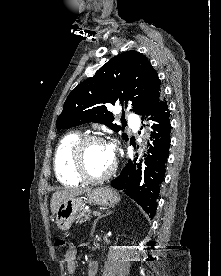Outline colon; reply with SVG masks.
Here are the masks:
<instances>
[{
  "mask_svg": "<svg viewBox=\"0 0 221 276\" xmlns=\"http://www.w3.org/2000/svg\"><path fill=\"white\" fill-rule=\"evenodd\" d=\"M55 246L59 248H64V247L70 248L69 242L64 238L57 239L55 242Z\"/></svg>",
  "mask_w": 221,
  "mask_h": 276,
  "instance_id": "1",
  "label": "colon"
}]
</instances>
